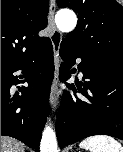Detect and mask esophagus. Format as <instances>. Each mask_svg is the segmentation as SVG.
<instances>
[{
    "mask_svg": "<svg viewBox=\"0 0 123 152\" xmlns=\"http://www.w3.org/2000/svg\"><path fill=\"white\" fill-rule=\"evenodd\" d=\"M56 10V4L55 0H50V7H49V14H48V22L49 26L51 27V41L53 45L54 50V77L50 89V106L53 110H55L60 90L58 88V81H59V69H60V61H59V51H60V45L62 41V34L61 32L56 28L55 22H54V15Z\"/></svg>",
    "mask_w": 123,
    "mask_h": 152,
    "instance_id": "1",
    "label": "esophagus"
}]
</instances>
